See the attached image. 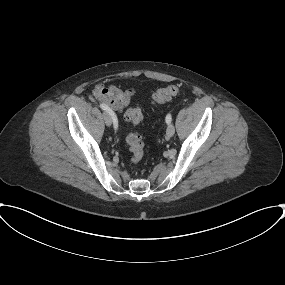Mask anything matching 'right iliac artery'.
<instances>
[{"mask_svg":"<svg viewBox=\"0 0 285 285\" xmlns=\"http://www.w3.org/2000/svg\"><path fill=\"white\" fill-rule=\"evenodd\" d=\"M100 107H101L103 110H105V111H107V112L110 113V115L112 116L113 123H114V128L116 129V128L118 127V125H117V119H116V117H115L113 111H112L107 105H105V104H100Z\"/></svg>","mask_w":285,"mask_h":285,"instance_id":"right-iliac-artery-1","label":"right iliac artery"}]
</instances>
